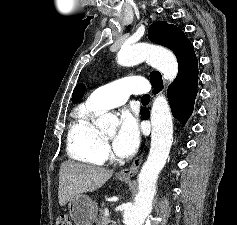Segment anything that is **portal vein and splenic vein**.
<instances>
[{
    "mask_svg": "<svg viewBox=\"0 0 237 225\" xmlns=\"http://www.w3.org/2000/svg\"><path fill=\"white\" fill-rule=\"evenodd\" d=\"M104 216L105 217H109V210H108V208H104Z\"/></svg>",
    "mask_w": 237,
    "mask_h": 225,
    "instance_id": "1",
    "label": "portal vein and splenic vein"
}]
</instances>
